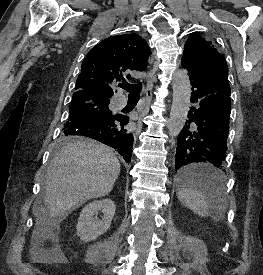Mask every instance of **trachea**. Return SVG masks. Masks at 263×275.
I'll return each instance as SVG.
<instances>
[{"label":"trachea","mask_w":263,"mask_h":275,"mask_svg":"<svg viewBox=\"0 0 263 275\" xmlns=\"http://www.w3.org/2000/svg\"><path fill=\"white\" fill-rule=\"evenodd\" d=\"M120 88H123L129 93L130 98H139L140 92L142 89V83L138 84H130L127 82H123L122 84L118 85Z\"/></svg>","instance_id":"3493384b"}]
</instances>
